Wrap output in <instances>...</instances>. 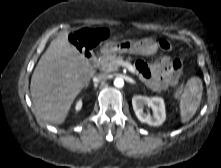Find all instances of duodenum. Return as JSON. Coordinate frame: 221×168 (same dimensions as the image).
<instances>
[{"label":"duodenum","instance_id":"410a0bca","mask_svg":"<svg viewBox=\"0 0 221 168\" xmlns=\"http://www.w3.org/2000/svg\"><path fill=\"white\" fill-rule=\"evenodd\" d=\"M86 59L91 66H96L99 61V57L94 53H86Z\"/></svg>","mask_w":221,"mask_h":168}]
</instances>
